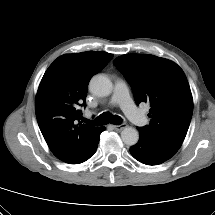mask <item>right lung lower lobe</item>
<instances>
[{
    "mask_svg": "<svg viewBox=\"0 0 215 215\" xmlns=\"http://www.w3.org/2000/svg\"><path fill=\"white\" fill-rule=\"evenodd\" d=\"M104 130H105V128L102 127L101 132H103ZM101 132H100V134H101ZM99 140H100V135H99V137H98V140L96 141V144L93 146L91 152L88 154L87 158H86L84 161L88 160V159L95 153V151H96V149H97V146H98ZM84 161H83V162H84Z\"/></svg>",
    "mask_w": 215,
    "mask_h": 215,
    "instance_id": "98d812e1",
    "label": "right lung lower lobe"
}]
</instances>
